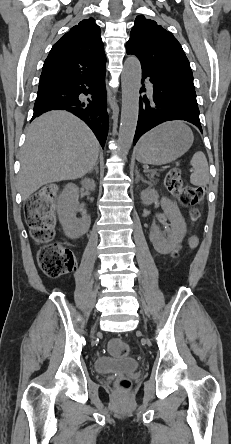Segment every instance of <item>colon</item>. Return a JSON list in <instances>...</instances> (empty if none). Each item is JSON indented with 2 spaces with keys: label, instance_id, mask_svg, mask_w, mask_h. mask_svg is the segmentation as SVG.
I'll return each mask as SVG.
<instances>
[{
  "label": "colon",
  "instance_id": "1",
  "mask_svg": "<svg viewBox=\"0 0 231 444\" xmlns=\"http://www.w3.org/2000/svg\"><path fill=\"white\" fill-rule=\"evenodd\" d=\"M165 185L170 192L178 197L181 204L191 206L190 219L196 222L200 217L197 205L206 194L204 186H184L182 173L179 168H172L165 177ZM57 188L49 185L34 195L26 203V221L30 229L32 239L41 245L38 253V263L42 271L50 278L55 279L69 273L74 267V256L71 250L59 244L53 243L55 234L54 202ZM178 256V251L173 254ZM109 352L115 356H124L129 352V346L121 339H113L109 342ZM131 382L126 377H121L116 382L120 391H127Z\"/></svg>",
  "mask_w": 231,
  "mask_h": 444
}]
</instances>
